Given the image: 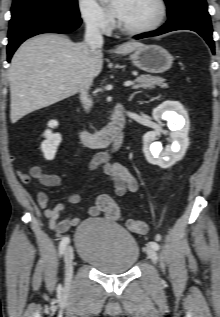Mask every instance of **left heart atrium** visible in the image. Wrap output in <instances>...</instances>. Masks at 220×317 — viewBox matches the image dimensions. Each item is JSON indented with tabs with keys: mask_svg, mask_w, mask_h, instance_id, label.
Returning <instances> with one entry per match:
<instances>
[{
	"mask_svg": "<svg viewBox=\"0 0 220 317\" xmlns=\"http://www.w3.org/2000/svg\"><path fill=\"white\" fill-rule=\"evenodd\" d=\"M127 2L128 0H105L108 11L117 19L123 16Z\"/></svg>",
	"mask_w": 220,
	"mask_h": 317,
	"instance_id": "left-heart-atrium-1",
	"label": "left heart atrium"
}]
</instances>
